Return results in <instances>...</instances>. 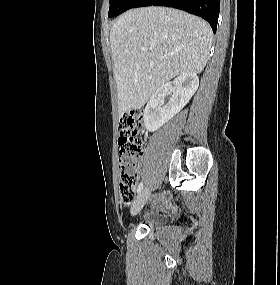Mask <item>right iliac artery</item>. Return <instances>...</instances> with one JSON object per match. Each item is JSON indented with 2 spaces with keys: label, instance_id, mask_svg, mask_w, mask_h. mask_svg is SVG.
<instances>
[{
  "label": "right iliac artery",
  "instance_id": "obj_1",
  "mask_svg": "<svg viewBox=\"0 0 280 285\" xmlns=\"http://www.w3.org/2000/svg\"><path fill=\"white\" fill-rule=\"evenodd\" d=\"M142 189H143V183L141 182L137 189L138 194L142 191Z\"/></svg>",
  "mask_w": 280,
  "mask_h": 285
}]
</instances>
